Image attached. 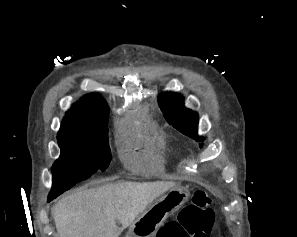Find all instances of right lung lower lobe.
Segmentation results:
<instances>
[{"label": "right lung lower lobe", "instance_id": "98d812e1", "mask_svg": "<svg viewBox=\"0 0 297 237\" xmlns=\"http://www.w3.org/2000/svg\"><path fill=\"white\" fill-rule=\"evenodd\" d=\"M51 200H53V199H51V198H48V202H49V201H51Z\"/></svg>", "mask_w": 297, "mask_h": 237}]
</instances>
